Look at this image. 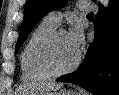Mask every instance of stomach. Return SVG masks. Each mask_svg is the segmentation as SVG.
<instances>
[{
    "mask_svg": "<svg viewBox=\"0 0 119 95\" xmlns=\"http://www.w3.org/2000/svg\"><path fill=\"white\" fill-rule=\"evenodd\" d=\"M38 95H82L81 93L75 91V90H61L59 92H49V93H40Z\"/></svg>",
    "mask_w": 119,
    "mask_h": 95,
    "instance_id": "1",
    "label": "stomach"
}]
</instances>
